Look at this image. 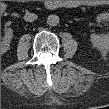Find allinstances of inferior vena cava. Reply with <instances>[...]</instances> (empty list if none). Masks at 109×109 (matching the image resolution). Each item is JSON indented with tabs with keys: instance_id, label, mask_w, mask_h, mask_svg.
I'll list each match as a JSON object with an SVG mask.
<instances>
[{
	"instance_id": "602c4592",
	"label": "inferior vena cava",
	"mask_w": 109,
	"mask_h": 109,
	"mask_svg": "<svg viewBox=\"0 0 109 109\" xmlns=\"http://www.w3.org/2000/svg\"><path fill=\"white\" fill-rule=\"evenodd\" d=\"M37 19V15L34 13H26L24 16V20L27 22H33L34 20Z\"/></svg>"
}]
</instances>
